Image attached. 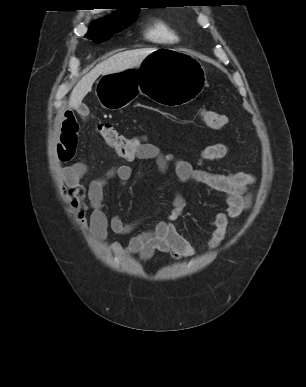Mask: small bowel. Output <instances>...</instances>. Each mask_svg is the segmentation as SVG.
Returning a JSON list of instances; mask_svg holds the SVG:
<instances>
[{"instance_id":"c3829d8e","label":"small bowel","mask_w":306,"mask_h":387,"mask_svg":"<svg viewBox=\"0 0 306 387\" xmlns=\"http://www.w3.org/2000/svg\"><path fill=\"white\" fill-rule=\"evenodd\" d=\"M79 124L71 111H68L60 123L56 144L58 159L63 163L72 161L77 151ZM229 153L228 146L213 144L205 147L199 154V161H217ZM127 161H153L159 172L165 173L172 165L180 182L193 181L220 193L224 199V209H218L214 216V229L208 241L210 249L217 248L224 240L230 220L239 218L250 206L248 187L254 182L250 173H212L194 167L191 161L179 158L172 153L162 152L156 145L145 142ZM63 194L69 209L77 222L97 240H104L108 231L118 235L131 234L137 222L126 223L119 216L108 217L104 211V193L109 181L117 180L126 185L132 177L129 165L118 164L107 169L101 176L92 179L87 185L82 183L86 165L73 163L63 168ZM186 207V200L180 192L172 199V209L165 220H157L152 226L134 234L127 244L114 242L111 250L116 254H136L142 260H149L155 252L170 254L174 258L190 257L195 248L177 229L176 221Z\"/></svg>"}]
</instances>
